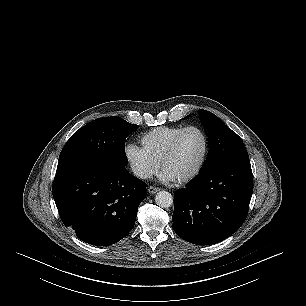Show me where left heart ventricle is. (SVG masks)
<instances>
[{
	"instance_id": "b2bd125f",
	"label": "left heart ventricle",
	"mask_w": 306,
	"mask_h": 306,
	"mask_svg": "<svg viewBox=\"0 0 306 306\" xmlns=\"http://www.w3.org/2000/svg\"><path fill=\"white\" fill-rule=\"evenodd\" d=\"M204 151V140L196 130L187 131L164 170L175 180L191 174L198 166Z\"/></svg>"
}]
</instances>
